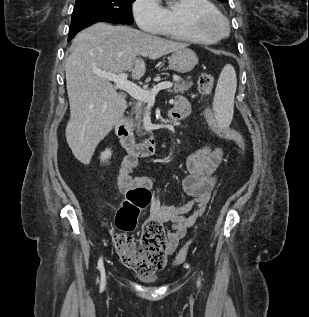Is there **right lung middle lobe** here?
Here are the masks:
<instances>
[{
    "label": "right lung middle lobe",
    "mask_w": 309,
    "mask_h": 317,
    "mask_svg": "<svg viewBox=\"0 0 309 317\" xmlns=\"http://www.w3.org/2000/svg\"><path fill=\"white\" fill-rule=\"evenodd\" d=\"M135 0H76L71 23L89 18L132 24V3Z\"/></svg>",
    "instance_id": "right-lung-middle-lobe-1"
}]
</instances>
